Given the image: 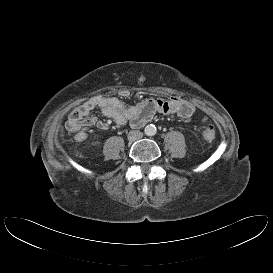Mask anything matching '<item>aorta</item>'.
<instances>
[{"label": "aorta", "instance_id": "762f6f07", "mask_svg": "<svg viewBox=\"0 0 273 273\" xmlns=\"http://www.w3.org/2000/svg\"><path fill=\"white\" fill-rule=\"evenodd\" d=\"M145 134L148 135V136H153L156 134V127L152 124L150 125H147L145 127Z\"/></svg>", "mask_w": 273, "mask_h": 273}]
</instances>
